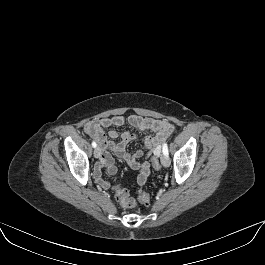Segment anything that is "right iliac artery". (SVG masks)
Returning a JSON list of instances; mask_svg holds the SVG:
<instances>
[{
    "label": "right iliac artery",
    "mask_w": 265,
    "mask_h": 265,
    "mask_svg": "<svg viewBox=\"0 0 265 265\" xmlns=\"http://www.w3.org/2000/svg\"><path fill=\"white\" fill-rule=\"evenodd\" d=\"M96 146H97L96 142L93 141V142H92V147H93V148H96Z\"/></svg>",
    "instance_id": "obj_1"
}]
</instances>
